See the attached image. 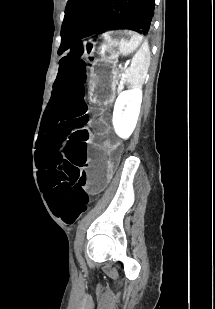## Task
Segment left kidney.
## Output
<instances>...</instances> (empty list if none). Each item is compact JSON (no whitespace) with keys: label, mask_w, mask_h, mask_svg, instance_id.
I'll list each match as a JSON object with an SVG mask.
<instances>
[{"label":"left kidney","mask_w":215,"mask_h":309,"mask_svg":"<svg viewBox=\"0 0 215 309\" xmlns=\"http://www.w3.org/2000/svg\"><path fill=\"white\" fill-rule=\"evenodd\" d=\"M142 90H123L114 104L112 122L114 130L121 138H129L132 134L140 112ZM124 108V110H123Z\"/></svg>","instance_id":"5707ae66"}]
</instances>
